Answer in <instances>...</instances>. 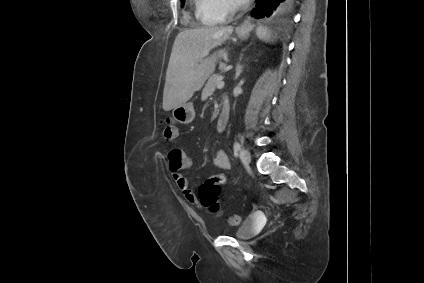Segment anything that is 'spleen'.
<instances>
[{"instance_id":"obj_1","label":"spleen","mask_w":424,"mask_h":283,"mask_svg":"<svg viewBox=\"0 0 424 283\" xmlns=\"http://www.w3.org/2000/svg\"><path fill=\"white\" fill-rule=\"evenodd\" d=\"M262 38H264V40L269 41L271 36L270 33L267 32L265 29L262 30Z\"/></svg>"}]
</instances>
